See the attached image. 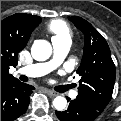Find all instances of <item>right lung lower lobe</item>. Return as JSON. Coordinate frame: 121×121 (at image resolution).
<instances>
[{"instance_id": "right-lung-lower-lobe-1", "label": "right lung lower lobe", "mask_w": 121, "mask_h": 121, "mask_svg": "<svg viewBox=\"0 0 121 121\" xmlns=\"http://www.w3.org/2000/svg\"><path fill=\"white\" fill-rule=\"evenodd\" d=\"M33 89L19 80L1 84V121H11L22 115L29 105Z\"/></svg>"}]
</instances>
